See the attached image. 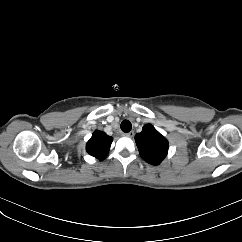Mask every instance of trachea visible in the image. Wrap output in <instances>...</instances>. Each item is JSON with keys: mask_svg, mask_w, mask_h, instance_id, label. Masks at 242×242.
I'll return each instance as SVG.
<instances>
[{"mask_svg": "<svg viewBox=\"0 0 242 242\" xmlns=\"http://www.w3.org/2000/svg\"><path fill=\"white\" fill-rule=\"evenodd\" d=\"M131 129H132V124L130 123V121L123 120L121 123V130L125 133H128L130 132Z\"/></svg>", "mask_w": 242, "mask_h": 242, "instance_id": "obj_1", "label": "trachea"}]
</instances>
